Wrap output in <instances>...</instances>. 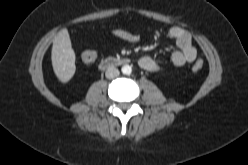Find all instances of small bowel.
I'll list each match as a JSON object with an SVG mask.
<instances>
[{
  "label": "small bowel",
  "mask_w": 248,
  "mask_h": 165,
  "mask_svg": "<svg viewBox=\"0 0 248 165\" xmlns=\"http://www.w3.org/2000/svg\"><path fill=\"white\" fill-rule=\"evenodd\" d=\"M111 34L123 41L135 43L140 41L141 35L132 33L123 29H115ZM168 36L173 39L178 47V50L171 54L170 62L174 67H181L186 63H192L197 57V51L192 43L190 34L183 28L172 27L168 31ZM139 66L149 72H160L164 66L154 60L150 56H142L139 61Z\"/></svg>",
  "instance_id": "c3829d8e"
}]
</instances>
